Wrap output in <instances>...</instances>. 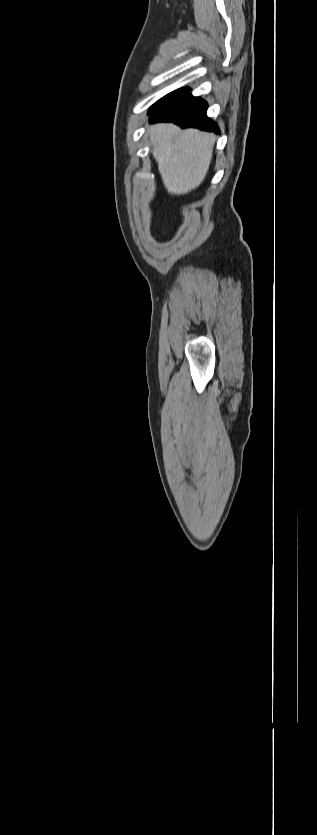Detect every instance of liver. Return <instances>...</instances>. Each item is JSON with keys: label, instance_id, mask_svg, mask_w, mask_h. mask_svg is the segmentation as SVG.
<instances>
[{"label": "liver", "instance_id": "liver-1", "mask_svg": "<svg viewBox=\"0 0 317 835\" xmlns=\"http://www.w3.org/2000/svg\"><path fill=\"white\" fill-rule=\"evenodd\" d=\"M147 134L168 193L185 194L203 182L212 159L214 134L181 130L170 123L154 124Z\"/></svg>", "mask_w": 317, "mask_h": 835}]
</instances>
